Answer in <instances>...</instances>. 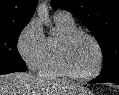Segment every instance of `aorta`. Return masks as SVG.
I'll list each match as a JSON object with an SVG mask.
<instances>
[{"mask_svg": "<svg viewBox=\"0 0 119 95\" xmlns=\"http://www.w3.org/2000/svg\"><path fill=\"white\" fill-rule=\"evenodd\" d=\"M36 11L39 18H41L45 24L49 25V11L47 3L44 1L39 2Z\"/></svg>", "mask_w": 119, "mask_h": 95, "instance_id": "obj_1", "label": "aorta"}]
</instances>
